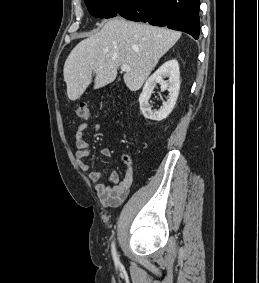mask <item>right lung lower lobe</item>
<instances>
[{"mask_svg": "<svg viewBox=\"0 0 259 283\" xmlns=\"http://www.w3.org/2000/svg\"><path fill=\"white\" fill-rule=\"evenodd\" d=\"M116 14L151 25L168 27L192 35L200 33V0H114Z\"/></svg>", "mask_w": 259, "mask_h": 283, "instance_id": "right-lung-lower-lobe-1", "label": "right lung lower lobe"}]
</instances>
